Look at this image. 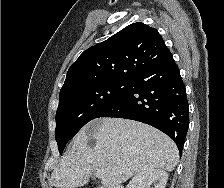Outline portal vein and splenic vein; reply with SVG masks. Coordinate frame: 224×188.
Instances as JSON below:
<instances>
[{"label": "portal vein and splenic vein", "mask_w": 224, "mask_h": 188, "mask_svg": "<svg viewBox=\"0 0 224 188\" xmlns=\"http://www.w3.org/2000/svg\"><path fill=\"white\" fill-rule=\"evenodd\" d=\"M95 175H96L97 178H102L103 175H104V173H103L102 170H97L96 173H95Z\"/></svg>", "instance_id": "portal-vein-and-splenic-vein-1"}]
</instances>
